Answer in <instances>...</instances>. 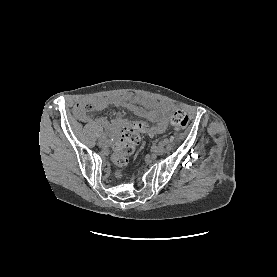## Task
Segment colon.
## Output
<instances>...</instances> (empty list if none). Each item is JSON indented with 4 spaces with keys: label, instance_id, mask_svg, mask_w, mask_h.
I'll use <instances>...</instances> for the list:
<instances>
[{
    "label": "colon",
    "instance_id": "5ec220e1",
    "mask_svg": "<svg viewBox=\"0 0 277 277\" xmlns=\"http://www.w3.org/2000/svg\"><path fill=\"white\" fill-rule=\"evenodd\" d=\"M76 109L81 113L88 114L91 112L92 106L79 103ZM188 123L189 116L182 110H176L170 119L171 127L176 132L184 130ZM148 129L149 125L146 122L137 119H134L130 126L124 128L121 136L116 139L113 145V162L118 168H123L128 164L140 142V133L146 132ZM122 175L121 171L116 172V177L121 178Z\"/></svg>",
    "mask_w": 277,
    "mask_h": 277
}]
</instances>
